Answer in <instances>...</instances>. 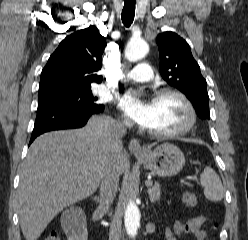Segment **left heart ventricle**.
<instances>
[{"mask_svg":"<svg viewBox=\"0 0 248 240\" xmlns=\"http://www.w3.org/2000/svg\"><path fill=\"white\" fill-rule=\"evenodd\" d=\"M155 120L151 130L172 131L181 127L186 119L187 112L183 103L174 96H164L154 99Z\"/></svg>","mask_w":248,"mask_h":240,"instance_id":"b2bd125f","label":"left heart ventricle"}]
</instances>
